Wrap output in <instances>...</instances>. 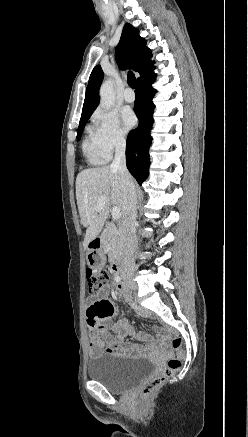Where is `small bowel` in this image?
I'll list each match as a JSON object with an SVG mask.
<instances>
[{
	"label": "small bowel",
	"mask_w": 248,
	"mask_h": 437,
	"mask_svg": "<svg viewBox=\"0 0 248 437\" xmlns=\"http://www.w3.org/2000/svg\"><path fill=\"white\" fill-rule=\"evenodd\" d=\"M115 289L125 300H129V293L123 285L118 284ZM108 291H110V288L99 291L98 294H87L86 296L87 325L91 331L90 356L97 357L103 352L118 356L144 355L154 351L157 348L156 344L145 333L137 332L126 320L120 319L109 325L107 324L115 310ZM138 313L144 315L143 311H138ZM127 336L149 343L145 346L127 343L124 341ZM161 340L164 342L165 337L161 336Z\"/></svg>",
	"instance_id": "small-bowel-1"
}]
</instances>
